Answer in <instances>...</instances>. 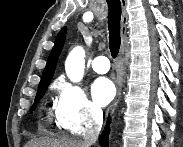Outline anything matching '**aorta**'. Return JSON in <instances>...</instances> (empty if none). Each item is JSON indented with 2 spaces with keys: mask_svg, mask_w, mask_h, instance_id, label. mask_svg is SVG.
Here are the masks:
<instances>
[{
  "mask_svg": "<svg viewBox=\"0 0 183 147\" xmlns=\"http://www.w3.org/2000/svg\"><path fill=\"white\" fill-rule=\"evenodd\" d=\"M85 68V50L83 47H75L68 55L65 62L67 77L74 83L82 80Z\"/></svg>",
  "mask_w": 183,
  "mask_h": 147,
  "instance_id": "762f6f07",
  "label": "aorta"
}]
</instances>
